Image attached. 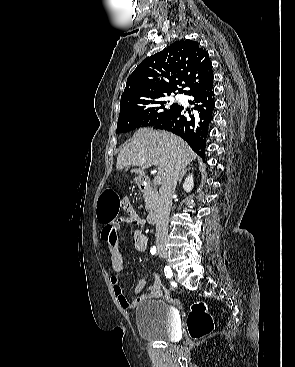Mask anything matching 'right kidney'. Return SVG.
Here are the masks:
<instances>
[{"label": "right kidney", "instance_id": "obj_1", "mask_svg": "<svg viewBox=\"0 0 295 367\" xmlns=\"http://www.w3.org/2000/svg\"><path fill=\"white\" fill-rule=\"evenodd\" d=\"M193 186H194V181H193V175H189L186 179H185V182L183 184V188L184 190L189 193L192 189H193Z\"/></svg>", "mask_w": 295, "mask_h": 367}]
</instances>
